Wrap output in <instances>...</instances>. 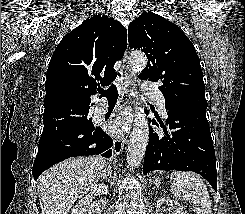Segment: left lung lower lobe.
Segmentation results:
<instances>
[{"label":"left lung lower lobe","mask_w":245,"mask_h":214,"mask_svg":"<svg viewBox=\"0 0 245 214\" xmlns=\"http://www.w3.org/2000/svg\"><path fill=\"white\" fill-rule=\"evenodd\" d=\"M206 108L200 105L166 108L167 123L173 131L156 133L150 128L143 174L153 170L193 171L217 191L215 151ZM152 123L158 126L155 119Z\"/></svg>","instance_id":"left-lung-lower-lobe-1"}]
</instances>
